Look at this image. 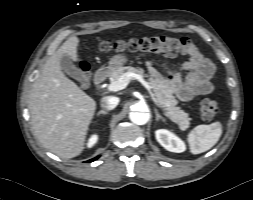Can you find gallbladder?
Here are the masks:
<instances>
[{"mask_svg":"<svg viewBox=\"0 0 253 200\" xmlns=\"http://www.w3.org/2000/svg\"><path fill=\"white\" fill-rule=\"evenodd\" d=\"M60 65L67 75L80 81L83 84V87H87L89 84V77L79 68L75 67L70 56L66 54L63 55L60 59Z\"/></svg>","mask_w":253,"mask_h":200,"instance_id":"gallbladder-1","label":"gallbladder"}]
</instances>
